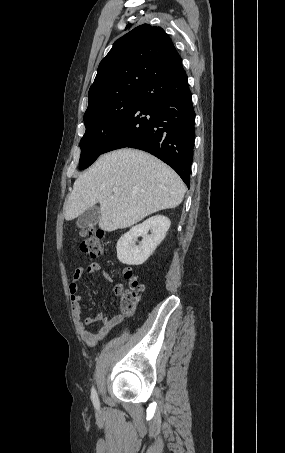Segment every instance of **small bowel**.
<instances>
[{
	"label": "small bowel",
	"mask_w": 285,
	"mask_h": 453,
	"mask_svg": "<svg viewBox=\"0 0 285 453\" xmlns=\"http://www.w3.org/2000/svg\"><path fill=\"white\" fill-rule=\"evenodd\" d=\"M98 271H100V266L97 263H91L88 266H80L75 270L73 274V280L69 284L71 311L76 329L81 339L91 347L95 346L98 342L103 340L110 332V330L118 325L123 319L122 315L104 317L102 313H97L93 316H88L82 319L80 305L81 296L78 294L77 281L85 275H90ZM101 275L106 282L110 283L112 281L111 276L107 272H102ZM119 288L120 287L116 288V292ZM97 322H101L102 325L96 331L88 328V326Z\"/></svg>",
	"instance_id": "c3829d8e"
}]
</instances>
